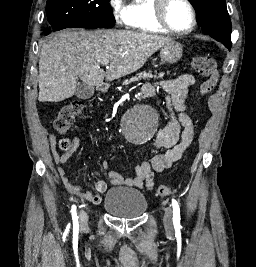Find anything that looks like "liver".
Returning a JSON list of instances; mask_svg holds the SVG:
<instances>
[{
    "label": "liver",
    "mask_w": 256,
    "mask_h": 267,
    "mask_svg": "<svg viewBox=\"0 0 256 267\" xmlns=\"http://www.w3.org/2000/svg\"><path fill=\"white\" fill-rule=\"evenodd\" d=\"M170 38L131 30H62L43 44L39 58V102H62L77 80L103 86L136 72ZM101 62H107L106 72Z\"/></svg>",
    "instance_id": "6515ba94"
}]
</instances>
